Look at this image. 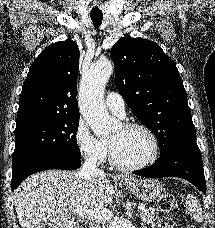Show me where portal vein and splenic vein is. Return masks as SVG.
I'll list each match as a JSON object with an SVG mask.
<instances>
[{
    "mask_svg": "<svg viewBox=\"0 0 215 228\" xmlns=\"http://www.w3.org/2000/svg\"><path fill=\"white\" fill-rule=\"evenodd\" d=\"M138 210H145V206L143 204H140L138 206ZM77 214H81V216H86V218H94L96 222H102V220H111L112 218V212H107V210H94V212H89V210H84V212H77Z\"/></svg>",
    "mask_w": 215,
    "mask_h": 228,
    "instance_id": "1",
    "label": "portal vein and splenic vein"
}]
</instances>
